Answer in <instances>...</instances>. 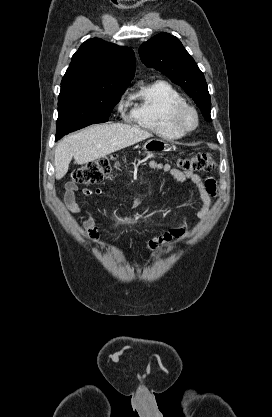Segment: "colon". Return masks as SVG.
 <instances>
[{
	"label": "colon",
	"instance_id": "5ec220e1",
	"mask_svg": "<svg viewBox=\"0 0 272 417\" xmlns=\"http://www.w3.org/2000/svg\"><path fill=\"white\" fill-rule=\"evenodd\" d=\"M178 164L187 172H211L216 167L213 156L209 153H200L180 159ZM116 167V157H103L76 168L71 174V180L75 184H96Z\"/></svg>",
	"mask_w": 272,
	"mask_h": 417
}]
</instances>
